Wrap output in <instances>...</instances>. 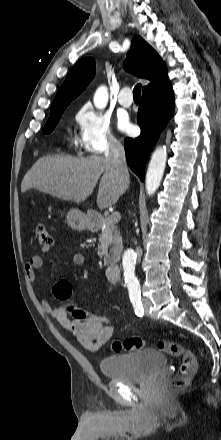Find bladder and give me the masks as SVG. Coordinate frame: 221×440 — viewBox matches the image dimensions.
<instances>
[{
  "instance_id": "obj_1",
  "label": "bladder",
  "mask_w": 221,
  "mask_h": 440,
  "mask_svg": "<svg viewBox=\"0 0 221 440\" xmlns=\"http://www.w3.org/2000/svg\"><path fill=\"white\" fill-rule=\"evenodd\" d=\"M167 365L166 356L154 349H139L115 355L100 363L106 379L131 384L145 382L157 376Z\"/></svg>"
}]
</instances>
